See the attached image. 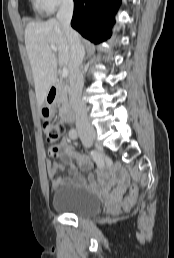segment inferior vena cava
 <instances>
[{
	"label": "inferior vena cava",
	"mask_w": 174,
	"mask_h": 258,
	"mask_svg": "<svg viewBox=\"0 0 174 258\" xmlns=\"http://www.w3.org/2000/svg\"><path fill=\"white\" fill-rule=\"evenodd\" d=\"M74 10L73 0H63L62 5L57 13V20L61 24L63 31L67 37L70 47V103L76 116V128L78 132H93L85 103L82 100L83 74L81 71L82 61L85 50L80 42L79 35L71 25V19Z\"/></svg>",
	"instance_id": "602c4592"
}]
</instances>
